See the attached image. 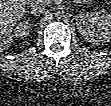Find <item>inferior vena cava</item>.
Listing matches in <instances>:
<instances>
[{
    "label": "inferior vena cava",
    "instance_id": "602c4592",
    "mask_svg": "<svg viewBox=\"0 0 111 106\" xmlns=\"http://www.w3.org/2000/svg\"><path fill=\"white\" fill-rule=\"evenodd\" d=\"M47 1L37 0L31 3V12L34 14H43L47 11Z\"/></svg>",
    "mask_w": 111,
    "mask_h": 106
}]
</instances>
